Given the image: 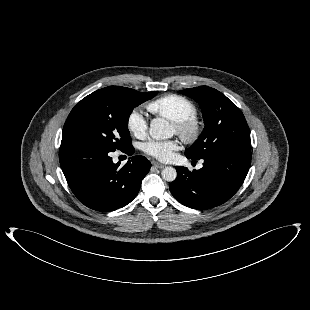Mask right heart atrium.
<instances>
[{
    "label": "right heart atrium",
    "mask_w": 310,
    "mask_h": 310,
    "mask_svg": "<svg viewBox=\"0 0 310 310\" xmlns=\"http://www.w3.org/2000/svg\"><path fill=\"white\" fill-rule=\"evenodd\" d=\"M127 127L130 133L137 138H144L147 135L148 123L139 109H134L128 116Z\"/></svg>",
    "instance_id": "1"
}]
</instances>
